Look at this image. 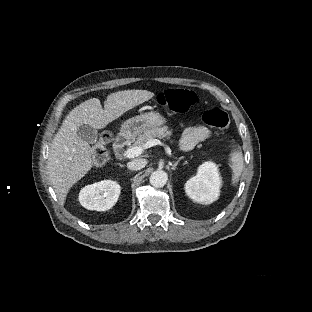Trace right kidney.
<instances>
[{
	"label": "right kidney",
	"mask_w": 312,
	"mask_h": 312,
	"mask_svg": "<svg viewBox=\"0 0 312 312\" xmlns=\"http://www.w3.org/2000/svg\"><path fill=\"white\" fill-rule=\"evenodd\" d=\"M120 191L117 182L103 180L83 187L79 193V202L88 210L106 211L115 205Z\"/></svg>",
	"instance_id": "1"
}]
</instances>
